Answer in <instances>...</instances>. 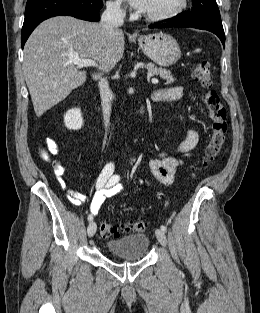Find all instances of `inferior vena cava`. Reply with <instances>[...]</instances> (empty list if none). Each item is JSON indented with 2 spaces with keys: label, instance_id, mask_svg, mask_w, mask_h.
Returning <instances> with one entry per match:
<instances>
[{
  "label": "inferior vena cava",
  "instance_id": "obj_1",
  "mask_svg": "<svg viewBox=\"0 0 260 313\" xmlns=\"http://www.w3.org/2000/svg\"><path fill=\"white\" fill-rule=\"evenodd\" d=\"M125 15L126 13L121 9L119 3L109 2L106 4V10L102 14L101 25L108 33H112L115 28L123 25ZM98 86L101 96L104 124L105 127H107L110 121L113 94L105 78L99 77Z\"/></svg>",
  "mask_w": 260,
  "mask_h": 313
}]
</instances>
